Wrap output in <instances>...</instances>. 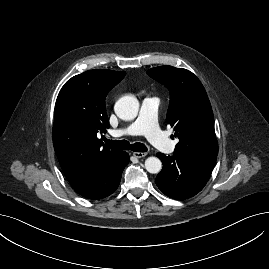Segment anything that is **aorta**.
I'll list each match as a JSON object with an SVG mask.
<instances>
[{"instance_id": "aorta-1", "label": "aorta", "mask_w": 269, "mask_h": 269, "mask_svg": "<svg viewBox=\"0 0 269 269\" xmlns=\"http://www.w3.org/2000/svg\"><path fill=\"white\" fill-rule=\"evenodd\" d=\"M115 113L122 120H133L139 111V102L136 97L127 95L120 98L115 104ZM145 168L149 173L156 174L162 169V162L157 157H148Z\"/></svg>"}]
</instances>
